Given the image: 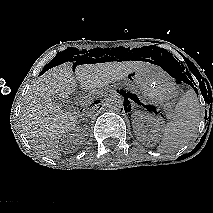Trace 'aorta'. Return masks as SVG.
<instances>
[{"label":"aorta","mask_w":213,"mask_h":213,"mask_svg":"<svg viewBox=\"0 0 213 213\" xmlns=\"http://www.w3.org/2000/svg\"><path fill=\"white\" fill-rule=\"evenodd\" d=\"M106 106L112 112H119L123 108V99L118 94L111 95L106 98Z\"/></svg>","instance_id":"obj_1"}]
</instances>
